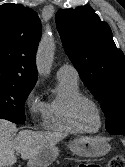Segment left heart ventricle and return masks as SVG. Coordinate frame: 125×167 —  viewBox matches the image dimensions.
Returning a JSON list of instances; mask_svg holds the SVG:
<instances>
[{"instance_id":"obj_1","label":"left heart ventricle","mask_w":125,"mask_h":167,"mask_svg":"<svg viewBox=\"0 0 125 167\" xmlns=\"http://www.w3.org/2000/svg\"><path fill=\"white\" fill-rule=\"evenodd\" d=\"M79 120L86 129H96L99 124V117L95 107L90 103H84L79 110Z\"/></svg>"}]
</instances>
